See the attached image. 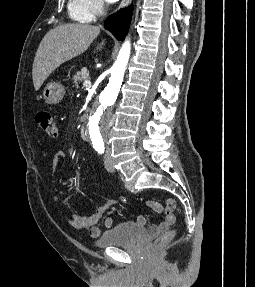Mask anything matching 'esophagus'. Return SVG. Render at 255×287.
<instances>
[{"label": "esophagus", "instance_id": "34e87169", "mask_svg": "<svg viewBox=\"0 0 255 287\" xmlns=\"http://www.w3.org/2000/svg\"><path fill=\"white\" fill-rule=\"evenodd\" d=\"M131 3V0H122L121 8H124L125 6H128Z\"/></svg>", "mask_w": 255, "mask_h": 287}]
</instances>
